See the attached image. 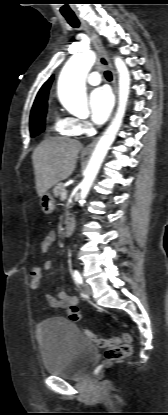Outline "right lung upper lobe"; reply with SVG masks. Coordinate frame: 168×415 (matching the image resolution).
Segmentation results:
<instances>
[{
  "mask_svg": "<svg viewBox=\"0 0 168 415\" xmlns=\"http://www.w3.org/2000/svg\"><path fill=\"white\" fill-rule=\"evenodd\" d=\"M52 81L53 76H51L50 79L47 82H45V84L41 87L31 111L47 106V98Z\"/></svg>",
  "mask_w": 168,
  "mask_h": 415,
  "instance_id": "right-lung-upper-lobe-1",
  "label": "right lung upper lobe"
}]
</instances>
